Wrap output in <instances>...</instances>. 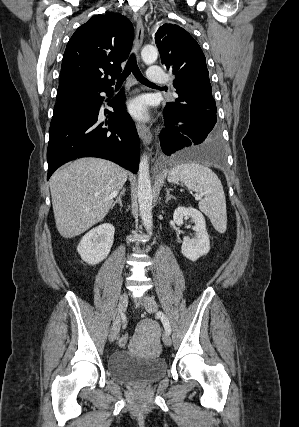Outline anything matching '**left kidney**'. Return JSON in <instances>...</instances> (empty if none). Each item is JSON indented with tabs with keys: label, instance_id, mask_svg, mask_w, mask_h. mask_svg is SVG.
Returning <instances> with one entry per match:
<instances>
[{
	"label": "left kidney",
	"instance_id": "5707ae66",
	"mask_svg": "<svg viewBox=\"0 0 299 427\" xmlns=\"http://www.w3.org/2000/svg\"><path fill=\"white\" fill-rule=\"evenodd\" d=\"M190 217L194 222L195 237L183 238L181 253L187 259L196 261L201 256L206 255L210 250L209 235L206 231V222L203 214L192 207H178L173 214V220L177 225H181L183 218Z\"/></svg>",
	"mask_w": 299,
	"mask_h": 427
}]
</instances>
